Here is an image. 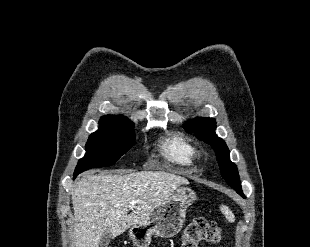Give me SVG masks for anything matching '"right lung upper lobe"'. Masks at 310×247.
Segmentation results:
<instances>
[{"mask_svg": "<svg viewBox=\"0 0 310 247\" xmlns=\"http://www.w3.org/2000/svg\"><path fill=\"white\" fill-rule=\"evenodd\" d=\"M101 119H108V120H115V121H120V122H125V123H131L133 124L130 120H128L126 117H122V116H113V115H107L104 116Z\"/></svg>", "mask_w": 310, "mask_h": 247, "instance_id": "right-lung-upper-lobe-1", "label": "right lung upper lobe"}]
</instances>
